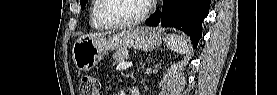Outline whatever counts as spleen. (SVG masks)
<instances>
[{
    "label": "spleen",
    "mask_w": 277,
    "mask_h": 95,
    "mask_svg": "<svg viewBox=\"0 0 277 95\" xmlns=\"http://www.w3.org/2000/svg\"><path fill=\"white\" fill-rule=\"evenodd\" d=\"M166 44L167 47L177 53H187L188 50V44L182 36L176 35V34H169L166 37Z\"/></svg>",
    "instance_id": "obj_1"
}]
</instances>
